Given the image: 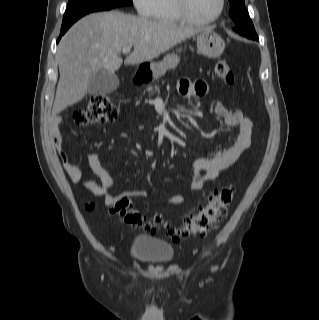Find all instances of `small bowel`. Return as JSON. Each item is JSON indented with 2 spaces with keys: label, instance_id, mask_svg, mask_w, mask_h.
Instances as JSON below:
<instances>
[{
  "label": "small bowel",
  "instance_id": "obj_1",
  "mask_svg": "<svg viewBox=\"0 0 319 320\" xmlns=\"http://www.w3.org/2000/svg\"><path fill=\"white\" fill-rule=\"evenodd\" d=\"M178 90L183 97L199 98L208 93V86L202 80L190 81L181 79L178 83ZM214 113L226 125L236 129V137L223 150L198 157L193 161L194 176L189 186V190L192 192L203 189L208 182L213 181L221 172L231 168L241 153L251 144L252 122L240 110L227 109L221 102H217L214 106ZM61 121L62 118L60 116L54 117L51 121V131L64 170L73 183L80 184L84 190L97 196H103L105 205L112 207L119 199V196L107 192L113 187L114 180L102 164V155L98 152H93L88 156V163L91 169L101 180V185H99L93 180L84 179L81 169L72 163L60 130ZM103 131L105 132V130ZM128 194L138 198H147L150 196V191L133 190ZM185 201L186 194L179 193L170 197L166 204L179 205ZM111 212L113 211L111 210Z\"/></svg>",
  "mask_w": 319,
  "mask_h": 320
}]
</instances>
